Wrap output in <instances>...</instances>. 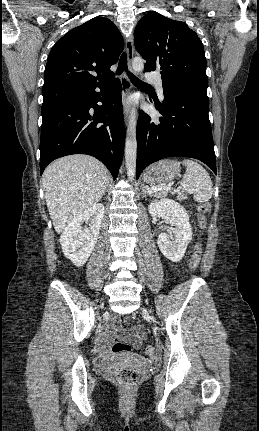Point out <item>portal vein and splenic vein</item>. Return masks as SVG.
I'll return each mask as SVG.
<instances>
[{
    "label": "portal vein and splenic vein",
    "mask_w": 259,
    "mask_h": 431,
    "mask_svg": "<svg viewBox=\"0 0 259 431\" xmlns=\"http://www.w3.org/2000/svg\"><path fill=\"white\" fill-rule=\"evenodd\" d=\"M170 187V185H160V186H156V187H152L150 189H148L149 193H153V192H158L160 190H168Z\"/></svg>",
    "instance_id": "18ae733b"
}]
</instances>
